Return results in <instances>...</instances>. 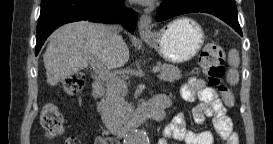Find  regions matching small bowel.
<instances>
[{
    "instance_id": "small-bowel-1",
    "label": "small bowel",
    "mask_w": 273,
    "mask_h": 144,
    "mask_svg": "<svg viewBox=\"0 0 273 144\" xmlns=\"http://www.w3.org/2000/svg\"><path fill=\"white\" fill-rule=\"evenodd\" d=\"M181 98L188 102H198L193 109L192 116L196 124L202 125L211 119L215 133L227 144H237L238 138L233 131L231 121L227 116V109L219 98L217 91L196 76H191L182 87ZM215 133L212 131L194 132L186 128V118L182 112L175 113L170 122L164 127L158 144H167L169 140H176L184 144H213ZM68 143H76L70 141ZM99 144L114 143L99 137Z\"/></svg>"
}]
</instances>
